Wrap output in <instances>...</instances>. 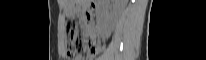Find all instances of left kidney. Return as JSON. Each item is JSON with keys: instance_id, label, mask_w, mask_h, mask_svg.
<instances>
[{"instance_id": "1", "label": "left kidney", "mask_w": 206, "mask_h": 60, "mask_svg": "<svg viewBox=\"0 0 206 60\" xmlns=\"http://www.w3.org/2000/svg\"><path fill=\"white\" fill-rule=\"evenodd\" d=\"M116 5L112 11H108L107 1L103 0L97 10L98 25L104 37H109L115 22L124 8L125 0H115Z\"/></svg>"}]
</instances>
